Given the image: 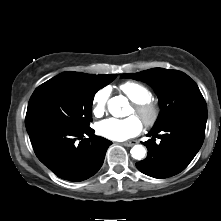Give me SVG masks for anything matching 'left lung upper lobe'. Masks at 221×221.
I'll return each instance as SVG.
<instances>
[{"label": "left lung upper lobe", "mask_w": 221, "mask_h": 221, "mask_svg": "<svg viewBox=\"0 0 221 221\" xmlns=\"http://www.w3.org/2000/svg\"><path fill=\"white\" fill-rule=\"evenodd\" d=\"M122 77L147 82L155 89L161 111L153 129L161 128L183 115L207 113V106L198 86L181 71L153 68L123 74Z\"/></svg>", "instance_id": "5c2ea615"}]
</instances>
